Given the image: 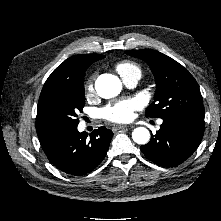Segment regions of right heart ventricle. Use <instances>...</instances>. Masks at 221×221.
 I'll list each match as a JSON object with an SVG mask.
<instances>
[{
	"instance_id": "obj_1",
	"label": "right heart ventricle",
	"mask_w": 221,
	"mask_h": 221,
	"mask_svg": "<svg viewBox=\"0 0 221 221\" xmlns=\"http://www.w3.org/2000/svg\"><path fill=\"white\" fill-rule=\"evenodd\" d=\"M115 69L122 78H126L131 75L141 76V69L139 65L132 61H121L116 64Z\"/></svg>"
}]
</instances>
